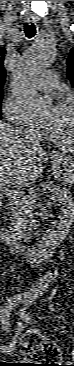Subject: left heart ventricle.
Wrapping results in <instances>:
<instances>
[{
    "label": "left heart ventricle",
    "mask_w": 74,
    "mask_h": 366,
    "mask_svg": "<svg viewBox=\"0 0 74 366\" xmlns=\"http://www.w3.org/2000/svg\"><path fill=\"white\" fill-rule=\"evenodd\" d=\"M53 112L54 115L48 129L60 137H72L73 126L70 107L66 105L57 108L49 107L46 110L45 116L52 114Z\"/></svg>",
    "instance_id": "left-heart-ventricle-1"
}]
</instances>
